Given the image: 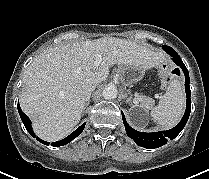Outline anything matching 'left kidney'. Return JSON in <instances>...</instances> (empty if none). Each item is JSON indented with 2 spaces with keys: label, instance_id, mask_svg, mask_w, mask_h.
I'll return each mask as SVG.
<instances>
[{
  "label": "left kidney",
  "instance_id": "obj_1",
  "mask_svg": "<svg viewBox=\"0 0 209 179\" xmlns=\"http://www.w3.org/2000/svg\"><path fill=\"white\" fill-rule=\"evenodd\" d=\"M135 106H133V108H134ZM134 113H138V114H143V112L141 111V110H135V111H133V114Z\"/></svg>",
  "mask_w": 209,
  "mask_h": 179
}]
</instances>
